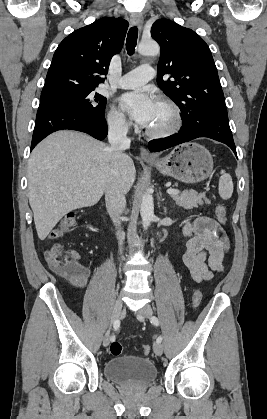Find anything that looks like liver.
<instances>
[{"label": "liver", "mask_w": 267, "mask_h": 419, "mask_svg": "<svg viewBox=\"0 0 267 419\" xmlns=\"http://www.w3.org/2000/svg\"><path fill=\"white\" fill-rule=\"evenodd\" d=\"M109 147L76 131L50 134L32 151L28 162V197L40 240L68 212L95 205L115 173L126 192L135 180L133 160L126 154L113 163Z\"/></svg>", "instance_id": "6515ba94"}]
</instances>
